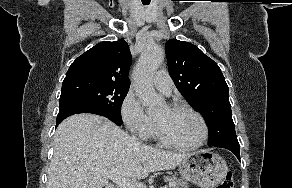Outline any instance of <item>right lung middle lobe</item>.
<instances>
[{"instance_id": "1", "label": "right lung middle lobe", "mask_w": 292, "mask_h": 188, "mask_svg": "<svg viewBox=\"0 0 292 188\" xmlns=\"http://www.w3.org/2000/svg\"><path fill=\"white\" fill-rule=\"evenodd\" d=\"M129 86L110 82L78 78L64 80L62 83L60 106L78 104L113 117L121 118V105Z\"/></svg>"}]
</instances>
